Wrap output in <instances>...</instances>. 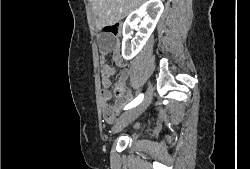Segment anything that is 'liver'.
<instances>
[{"label":"liver","mask_w":250,"mask_h":169,"mask_svg":"<svg viewBox=\"0 0 250 169\" xmlns=\"http://www.w3.org/2000/svg\"><path fill=\"white\" fill-rule=\"evenodd\" d=\"M94 14H97V26L115 24L132 12L145 0H89Z\"/></svg>","instance_id":"liver-1"}]
</instances>
